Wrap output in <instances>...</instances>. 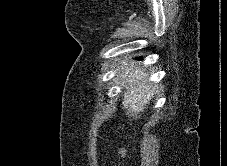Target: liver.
<instances>
[{"mask_svg": "<svg viewBox=\"0 0 227 166\" xmlns=\"http://www.w3.org/2000/svg\"><path fill=\"white\" fill-rule=\"evenodd\" d=\"M126 90L123 95V109L128 117L140 118L147 104L150 103L155 93L153 85L146 81V75L137 66H128L118 74Z\"/></svg>", "mask_w": 227, "mask_h": 166, "instance_id": "1", "label": "liver"}]
</instances>
